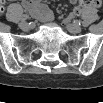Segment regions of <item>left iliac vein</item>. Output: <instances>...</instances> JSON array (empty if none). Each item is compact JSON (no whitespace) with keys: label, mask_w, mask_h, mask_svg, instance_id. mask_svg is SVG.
Masks as SVG:
<instances>
[{"label":"left iliac vein","mask_w":103,"mask_h":103,"mask_svg":"<svg viewBox=\"0 0 103 103\" xmlns=\"http://www.w3.org/2000/svg\"><path fill=\"white\" fill-rule=\"evenodd\" d=\"M67 29L69 32L71 33H80L82 31V28L78 25H74V24H67Z\"/></svg>","instance_id":"obj_1"}]
</instances>
